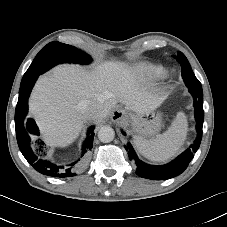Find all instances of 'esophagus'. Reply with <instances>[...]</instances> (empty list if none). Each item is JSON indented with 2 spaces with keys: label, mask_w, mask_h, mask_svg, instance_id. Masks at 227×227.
<instances>
[{
  "label": "esophagus",
  "mask_w": 227,
  "mask_h": 227,
  "mask_svg": "<svg viewBox=\"0 0 227 227\" xmlns=\"http://www.w3.org/2000/svg\"><path fill=\"white\" fill-rule=\"evenodd\" d=\"M124 116H125V112L123 110L116 109L112 112L111 119H112V121L117 122V121L123 119Z\"/></svg>",
  "instance_id": "esophagus-1"
}]
</instances>
